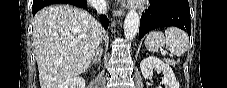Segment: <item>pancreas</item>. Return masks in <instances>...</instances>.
Wrapping results in <instances>:
<instances>
[{
	"label": "pancreas",
	"instance_id": "obj_1",
	"mask_svg": "<svg viewBox=\"0 0 227 88\" xmlns=\"http://www.w3.org/2000/svg\"><path fill=\"white\" fill-rule=\"evenodd\" d=\"M168 63L171 64V65L175 64L174 61H172V60H168Z\"/></svg>",
	"mask_w": 227,
	"mask_h": 88
}]
</instances>
